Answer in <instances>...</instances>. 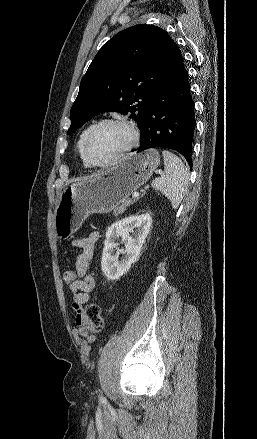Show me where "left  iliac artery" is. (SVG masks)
<instances>
[{
	"label": "left iliac artery",
	"instance_id": "1",
	"mask_svg": "<svg viewBox=\"0 0 257 439\" xmlns=\"http://www.w3.org/2000/svg\"><path fill=\"white\" fill-rule=\"evenodd\" d=\"M100 400L102 401V400H104V398L100 396Z\"/></svg>",
	"mask_w": 257,
	"mask_h": 439
}]
</instances>
